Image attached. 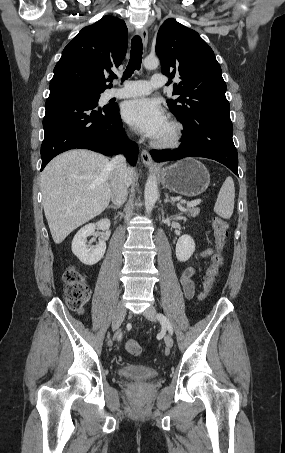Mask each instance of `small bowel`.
<instances>
[{
  "label": "small bowel",
  "instance_id": "small-bowel-1",
  "mask_svg": "<svg viewBox=\"0 0 285 453\" xmlns=\"http://www.w3.org/2000/svg\"><path fill=\"white\" fill-rule=\"evenodd\" d=\"M213 253L212 248L205 249L200 253V257H208ZM195 265L188 264L183 269L181 276H180V284L182 286L184 295L186 298L190 299L193 297L195 292V284L193 281V276L195 274Z\"/></svg>",
  "mask_w": 285,
  "mask_h": 453
}]
</instances>
